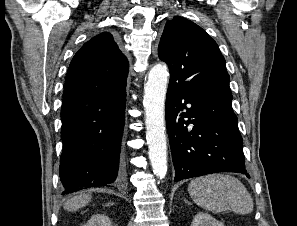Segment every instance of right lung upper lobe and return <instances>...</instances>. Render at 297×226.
I'll use <instances>...</instances> for the list:
<instances>
[{
  "instance_id": "1",
  "label": "right lung upper lobe",
  "mask_w": 297,
  "mask_h": 226,
  "mask_svg": "<svg viewBox=\"0 0 297 226\" xmlns=\"http://www.w3.org/2000/svg\"><path fill=\"white\" fill-rule=\"evenodd\" d=\"M128 61L110 33L89 40L73 57L65 80L63 98L126 86Z\"/></svg>"
}]
</instances>
